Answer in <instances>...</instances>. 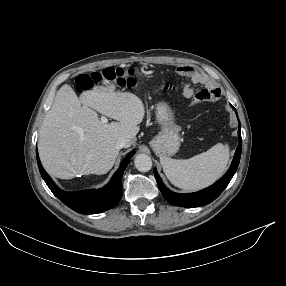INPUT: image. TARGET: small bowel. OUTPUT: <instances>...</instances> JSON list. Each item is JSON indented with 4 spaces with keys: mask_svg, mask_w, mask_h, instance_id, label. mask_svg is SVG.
I'll list each match as a JSON object with an SVG mask.
<instances>
[{
    "mask_svg": "<svg viewBox=\"0 0 286 286\" xmlns=\"http://www.w3.org/2000/svg\"><path fill=\"white\" fill-rule=\"evenodd\" d=\"M178 73L182 76L190 78L193 83L205 84L207 86V88L198 92L204 96V101H213V100H216L220 96V89L211 86L207 77L204 74L196 71L193 67L182 66V67L178 68ZM184 95L187 98L193 97V101H192L193 104L199 103V102L195 101L196 94L194 95V92H193V89L191 86L187 85L185 87ZM208 95H209V97H208Z\"/></svg>",
    "mask_w": 286,
    "mask_h": 286,
    "instance_id": "obj_1",
    "label": "small bowel"
}]
</instances>
